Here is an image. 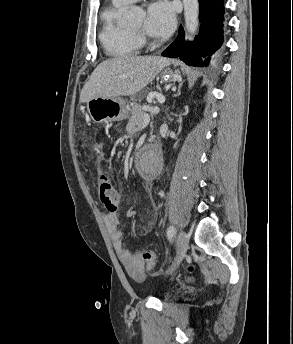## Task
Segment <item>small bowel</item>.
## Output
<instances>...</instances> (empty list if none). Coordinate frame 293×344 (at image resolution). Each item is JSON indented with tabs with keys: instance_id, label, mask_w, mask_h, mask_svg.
I'll return each instance as SVG.
<instances>
[{
	"instance_id": "c3829d8e",
	"label": "small bowel",
	"mask_w": 293,
	"mask_h": 344,
	"mask_svg": "<svg viewBox=\"0 0 293 344\" xmlns=\"http://www.w3.org/2000/svg\"><path fill=\"white\" fill-rule=\"evenodd\" d=\"M102 144H98V150L102 151ZM105 224L110 234L115 252L125 269L135 278H140L143 272V262L138 256L133 255L123 245V233L119 227L118 211L112 210L103 215ZM155 226V220L146 225V229L150 230Z\"/></svg>"
}]
</instances>
